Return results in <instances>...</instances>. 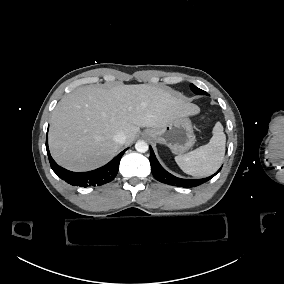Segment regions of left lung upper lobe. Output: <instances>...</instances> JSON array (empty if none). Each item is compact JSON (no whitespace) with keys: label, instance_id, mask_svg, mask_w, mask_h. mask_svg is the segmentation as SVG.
Returning a JSON list of instances; mask_svg holds the SVG:
<instances>
[{"label":"left lung upper lobe","instance_id":"1","mask_svg":"<svg viewBox=\"0 0 284 284\" xmlns=\"http://www.w3.org/2000/svg\"><path fill=\"white\" fill-rule=\"evenodd\" d=\"M190 88H191V90H192L195 94H197V95H208L205 91H203V90L197 88V87H196L195 85H193V84H190Z\"/></svg>","mask_w":284,"mask_h":284}]
</instances>
